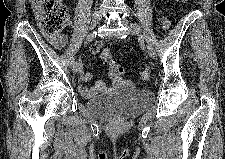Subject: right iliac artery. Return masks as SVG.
<instances>
[{"mask_svg": "<svg viewBox=\"0 0 225 159\" xmlns=\"http://www.w3.org/2000/svg\"><path fill=\"white\" fill-rule=\"evenodd\" d=\"M96 35H97V32L96 31L90 32L87 35L86 39H85V44H88L91 41H93L96 38ZM74 61H75V59L73 58L72 61H71V63H70L71 66L74 64Z\"/></svg>", "mask_w": 225, "mask_h": 159, "instance_id": "82829eb1", "label": "right iliac artery"}]
</instances>
